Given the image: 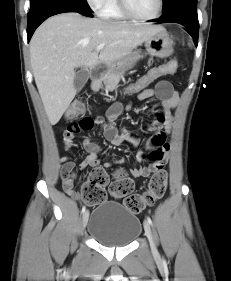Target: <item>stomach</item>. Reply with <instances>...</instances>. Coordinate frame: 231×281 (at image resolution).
I'll list each match as a JSON object with an SVG mask.
<instances>
[{
    "instance_id": "0dacf381",
    "label": "stomach",
    "mask_w": 231,
    "mask_h": 281,
    "mask_svg": "<svg viewBox=\"0 0 231 281\" xmlns=\"http://www.w3.org/2000/svg\"><path fill=\"white\" fill-rule=\"evenodd\" d=\"M144 46L148 54L156 57H168L173 53V41L164 29L144 42ZM140 51H134L122 59L108 66L109 71H125L133 68L141 59Z\"/></svg>"
}]
</instances>
